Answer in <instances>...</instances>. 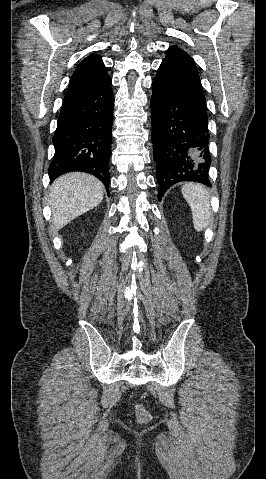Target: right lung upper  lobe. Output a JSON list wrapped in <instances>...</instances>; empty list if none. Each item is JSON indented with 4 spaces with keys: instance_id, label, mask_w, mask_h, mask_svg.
Returning a JSON list of instances; mask_svg holds the SVG:
<instances>
[{
    "instance_id": "obj_1",
    "label": "right lung upper lobe",
    "mask_w": 266,
    "mask_h": 479,
    "mask_svg": "<svg viewBox=\"0 0 266 479\" xmlns=\"http://www.w3.org/2000/svg\"><path fill=\"white\" fill-rule=\"evenodd\" d=\"M105 74L107 72L101 57L97 54H91L77 66L70 79V83L97 79Z\"/></svg>"
}]
</instances>
